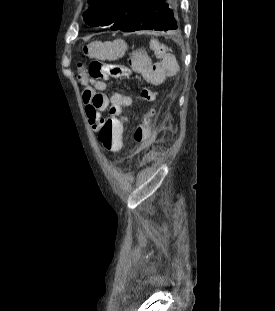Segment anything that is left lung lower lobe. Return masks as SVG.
I'll list each match as a JSON object with an SVG mask.
<instances>
[{"mask_svg": "<svg viewBox=\"0 0 275 311\" xmlns=\"http://www.w3.org/2000/svg\"><path fill=\"white\" fill-rule=\"evenodd\" d=\"M178 28L170 0H144L120 30L125 32L138 30L172 32Z\"/></svg>", "mask_w": 275, "mask_h": 311, "instance_id": "1", "label": "left lung lower lobe"}]
</instances>
